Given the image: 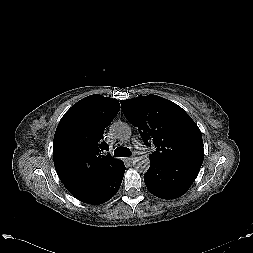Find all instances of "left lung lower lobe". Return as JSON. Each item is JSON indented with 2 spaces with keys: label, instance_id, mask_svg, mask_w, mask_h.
<instances>
[{
  "label": "left lung lower lobe",
  "instance_id": "1",
  "mask_svg": "<svg viewBox=\"0 0 253 253\" xmlns=\"http://www.w3.org/2000/svg\"><path fill=\"white\" fill-rule=\"evenodd\" d=\"M201 165L185 159L150 158L144 182L153 195L162 199H176L191 187Z\"/></svg>",
  "mask_w": 253,
  "mask_h": 253
}]
</instances>
